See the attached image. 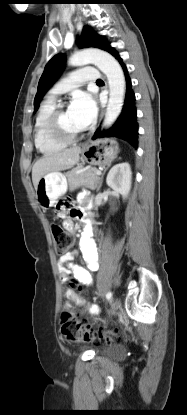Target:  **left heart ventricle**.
I'll return each instance as SVG.
<instances>
[{
    "mask_svg": "<svg viewBox=\"0 0 187 415\" xmlns=\"http://www.w3.org/2000/svg\"><path fill=\"white\" fill-rule=\"evenodd\" d=\"M60 123L64 131L69 134H77L83 131V128L77 123L68 110H65L62 114Z\"/></svg>",
    "mask_w": 187,
    "mask_h": 415,
    "instance_id": "b2bd125f",
    "label": "left heart ventricle"
}]
</instances>
